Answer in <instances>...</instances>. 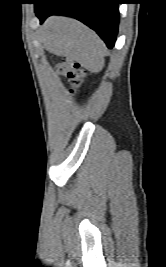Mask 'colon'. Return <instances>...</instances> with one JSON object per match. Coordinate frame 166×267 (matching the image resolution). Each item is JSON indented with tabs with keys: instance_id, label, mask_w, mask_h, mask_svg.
Returning <instances> with one entry per match:
<instances>
[{
	"instance_id": "colon-1",
	"label": "colon",
	"mask_w": 166,
	"mask_h": 267,
	"mask_svg": "<svg viewBox=\"0 0 166 267\" xmlns=\"http://www.w3.org/2000/svg\"><path fill=\"white\" fill-rule=\"evenodd\" d=\"M57 69L67 78L70 84V92L75 93L85 77V71L81 65L77 61L65 59L58 65Z\"/></svg>"
}]
</instances>
